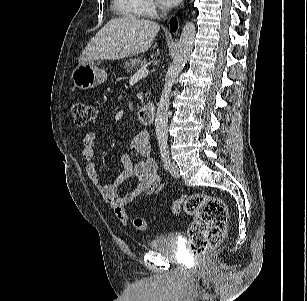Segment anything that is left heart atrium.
Returning <instances> with one entry per match:
<instances>
[{"mask_svg": "<svg viewBox=\"0 0 307 301\" xmlns=\"http://www.w3.org/2000/svg\"><path fill=\"white\" fill-rule=\"evenodd\" d=\"M161 5L164 7H174L176 6L181 0H158Z\"/></svg>", "mask_w": 307, "mask_h": 301, "instance_id": "39dd6f15", "label": "left heart atrium"}]
</instances>
